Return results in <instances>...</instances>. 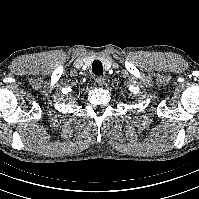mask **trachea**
<instances>
[{
	"instance_id": "trachea-1",
	"label": "trachea",
	"mask_w": 199,
	"mask_h": 199,
	"mask_svg": "<svg viewBox=\"0 0 199 199\" xmlns=\"http://www.w3.org/2000/svg\"><path fill=\"white\" fill-rule=\"evenodd\" d=\"M92 72L95 75H102L103 74V66L102 63L99 60H95L92 64Z\"/></svg>"
}]
</instances>
